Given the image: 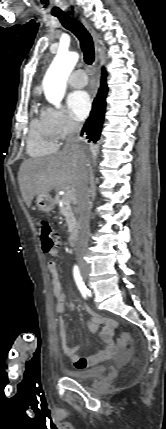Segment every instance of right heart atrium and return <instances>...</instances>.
<instances>
[{
	"label": "right heart atrium",
	"mask_w": 166,
	"mask_h": 429,
	"mask_svg": "<svg viewBox=\"0 0 166 429\" xmlns=\"http://www.w3.org/2000/svg\"><path fill=\"white\" fill-rule=\"evenodd\" d=\"M41 117L56 140H63L76 133L80 125L73 121L63 109L48 107Z\"/></svg>",
	"instance_id": "1"
}]
</instances>
